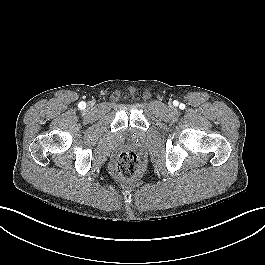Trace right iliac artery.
Returning <instances> with one entry per match:
<instances>
[{
	"label": "right iliac artery",
	"mask_w": 265,
	"mask_h": 265,
	"mask_svg": "<svg viewBox=\"0 0 265 265\" xmlns=\"http://www.w3.org/2000/svg\"><path fill=\"white\" fill-rule=\"evenodd\" d=\"M78 107H79L80 109H85V107H86V103H85V102H80V103L78 104Z\"/></svg>",
	"instance_id": "obj_1"
}]
</instances>
